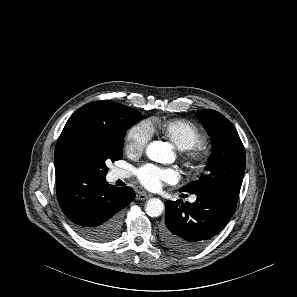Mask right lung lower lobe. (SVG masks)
I'll return each instance as SVG.
<instances>
[{"mask_svg":"<svg viewBox=\"0 0 297 297\" xmlns=\"http://www.w3.org/2000/svg\"><path fill=\"white\" fill-rule=\"evenodd\" d=\"M60 207L83 238L105 243L118 237L122 209L135 193L130 187H110L105 177L73 171L56 177Z\"/></svg>","mask_w":297,"mask_h":297,"instance_id":"1","label":"right lung lower lobe"}]
</instances>
